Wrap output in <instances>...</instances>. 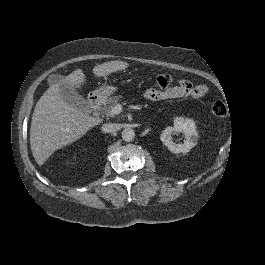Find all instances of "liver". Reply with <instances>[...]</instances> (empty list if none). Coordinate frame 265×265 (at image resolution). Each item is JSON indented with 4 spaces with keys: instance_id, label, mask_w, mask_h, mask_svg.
Listing matches in <instances>:
<instances>
[{
    "instance_id": "liver-1",
    "label": "liver",
    "mask_w": 265,
    "mask_h": 265,
    "mask_svg": "<svg viewBox=\"0 0 265 265\" xmlns=\"http://www.w3.org/2000/svg\"><path fill=\"white\" fill-rule=\"evenodd\" d=\"M129 67L130 64L125 61H109L95 66L92 73L96 78H104ZM63 84L83 90L87 85L84 71L76 69L62 82L50 86L35 106L30 128V147L39 167L56 151L76 142L91 128L103 122V119L84 114L65 102L60 95Z\"/></svg>"
}]
</instances>
